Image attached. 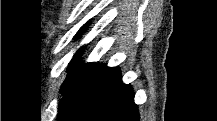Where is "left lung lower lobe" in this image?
Instances as JSON below:
<instances>
[{
	"label": "left lung lower lobe",
	"mask_w": 217,
	"mask_h": 121,
	"mask_svg": "<svg viewBox=\"0 0 217 121\" xmlns=\"http://www.w3.org/2000/svg\"><path fill=\"white\" fill-rule=\"evenodd\" d=\"M73 121H139L134 92L122 82L119 68L104 66Z\"/></svg>",
	"instance_id": "1"
}]
</instances>
